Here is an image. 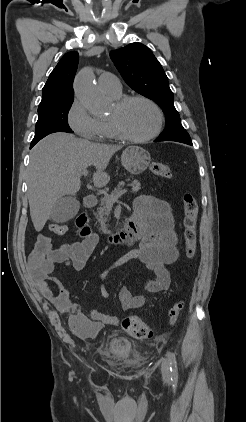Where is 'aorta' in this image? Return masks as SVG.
Segmentation results:
<instances>
[{"label": "aorta", "mask_w": 246, "mask_h": 422, "mask_svg": "<svg viewBox=\"0 0 246 422\" xmlns=\"http://www.w3.org/2000/svg\"><path fill=\"white\" fill-rule=\"evenodd\" d=\"M76 98L93 115H101L107 110L103 96L94 83V73L91 68L81 70L74 81Z\"/></svg>", "instance_id": "obj_1"}]
</instances>
